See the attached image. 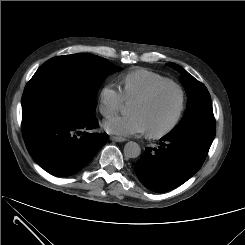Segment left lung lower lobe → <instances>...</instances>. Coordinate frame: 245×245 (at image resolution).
Masks as SVG:
<instances>
[{"label": "left lung lower lobe", "mask_w": 245, "mask_h": 245, "mask_svg": "<svg viewBox=\"0 0 245 245\" xmlns=\"http://www.w3.org/2000/svg\"><path fill=\"white\" fill-rule=\"evenodd\" d=\"M191 137L164 136L159 148H146L135 171L148 189L162 193L190 179L202 166L209 150Z\"/></svg>", "instance_id": "obj_1"}]
</instances>
